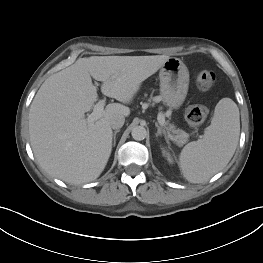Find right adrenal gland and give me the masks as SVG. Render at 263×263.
Segmentation results:
<instances>
[{
	"label": "right adrenal gland",
	"instance_id": "obj_1",
	"mask_svg": "<svg viewBox=\"0 0 263 263\" xmlns=\"http://www.w3.org/2000/svg\"><path fill=\"white\" fill-rule=\"evenodd\" d=\"M119 131H120L119 129H117V130L114 131V134H113V146L116 145V134H117Z\"/></svg>",
	"mask_w": 263,
	"mask_h": 263
}]
</instances>
